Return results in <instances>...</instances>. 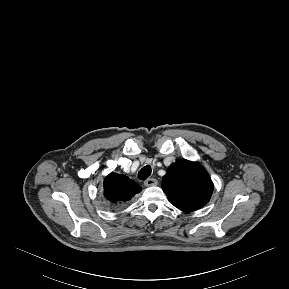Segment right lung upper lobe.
I'll use <instances>...</instances> for the list:
<instances>
[{
	"mask_svg": "<svg viewBox=\"0 0 289 289\" xmlns=\"http://www.w3.org/2000/svg\"><path fill=\"white\" fill-rule=\"evenodd\" d=\"M140 191L137 183L122 174L112 172L104 179V194L113 203L125 202Z\"/></svg>",
	"mask_w": 289,
	"mask_h": 289,
	"instance_id": "cb5924a9",
	"label": "right lung upper lobe"
}]
</instances>
